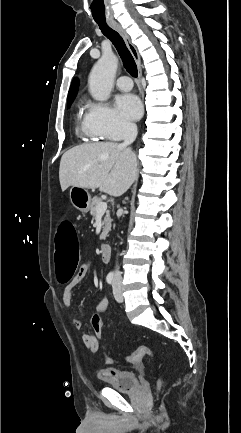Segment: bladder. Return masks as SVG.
I'll return each mask as SVG.
<instances>
[{"label": "bladder", "instance_id": "bladder-1", "mask_svg": "<svg viewBox=\"0 0 241 433\" xmlns=\"http://www.w3.org/2000/svg\"><path fill=\"white\" fill-rule=\"evenodd\" d=\"M97 377L107 387L123 393L135 390L139 386L138 376L132 371H116L114 373L100 371Z\"/></svg>", "mask_w": 241, "mask_h": 433}]
</instances>
